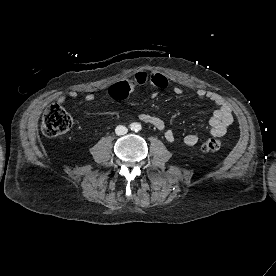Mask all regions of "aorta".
<instances>
[{"mask_svg": "<svg viewBox=\"0 0 276 276\" xmlns=\"http://www.w3.org/2000/svg\"><path fill=\"white\" fill-rule=\"evenodd\" d=\"M132 130L139 131L141 129L140 123H133L131 126Z\"/></svg>", "mask_w": 276, "mask_h": 276, "instance_id": "1", "label": "aorta"}]
</instances>
